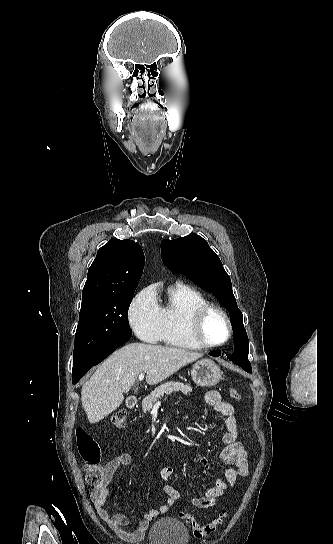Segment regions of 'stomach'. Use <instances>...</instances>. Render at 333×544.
Listing matches in <instances>:
<instances>
[{"label": "stomach", "mask_w": 333, "mask_h": 544, "mask_svg": "<svg viewBox=\"0 0 333 544\" xmlns=\"http://www.w3.org/2000/svg\"><path fill=\"white\" fill-rule=\"evenodd\" d=\"M219 366L210 359H202L193 365L191 376L193 381L202 387H212L222 379Z\"/></svg>", "instance_id": "obj_1"}]
</instances>
